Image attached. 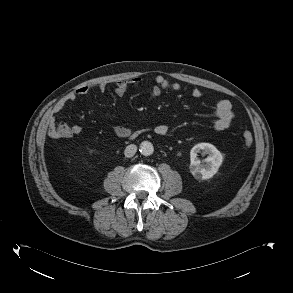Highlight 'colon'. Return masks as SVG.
Returning <instances> with one entry per match:
<instances>
[{
    "mask_svg": "<svg viewBox=\"0 0 293 293\" xmlns=\"http://www.w3.org/2000/svg\"><path fill=\"white\" fill-rule=\"evenodd\" d=\"M50 134L56 135V136H66L69 134V127L65 123H59V124H53L50 126ZM243 140L244 145L246 148L250 147L253 143V136L251 132L245 131L243 133Z\"/></svg>",
    "mask_w": 293,
    "mask_h": 293,
    "instance_id": "colon-1",
    "label": "colon"
}]
</instances>
